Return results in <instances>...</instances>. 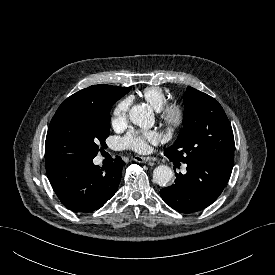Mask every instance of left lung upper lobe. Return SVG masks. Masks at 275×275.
Here are the masks:
<instances>
[{"instance_id":"5c2ea615","label":"left lung upper lobe","mask_w":275,"mask_h":275,"mask_svg":"<svg viewBox=\"0 0 275 275\" xmlns=\"http://www.w3.org/2000/svg\"><path fill=\"white\" fill-rule=\"evenodd\" d=\"M184 103V128L165 156L186 164L199 159L233 164V131L219 102L188 87Z\"/></svg>"}]
</instances>
